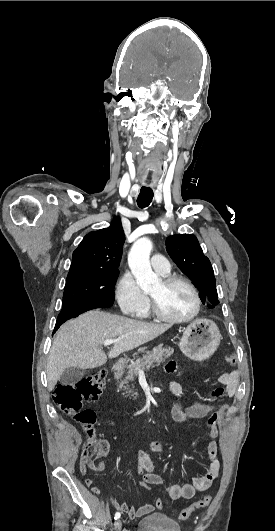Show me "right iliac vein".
Returning <instances> with one entry per match:
<instances>
[{"label":"right iliac vein","instance_id":"1","mask_svg":"<svg viewBox=\"0 0 275 531\" xmlns=\"http://www.w3.org/2000/svg\"><path fill=\"white\" fill-rule=\"evenodd\" d=\"M114 528H115V531H121L122 524H121V521H120V520H117V521L115 522V526H114Z\"/></svg>","mask_w":275,"mask_h":531}]
</instances>
